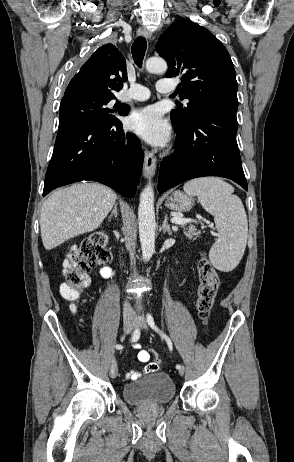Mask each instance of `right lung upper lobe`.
<instances>
[{
	"label": "right lung upper lobe",
	"instance_id": "obj_1",
	"mask_svg": "<svg viewBox=\"0 0 294 462\" xmlns=\"http://www.w3.org/2000/svg\"><path fill=\"white\" fill-rule=\"evenodd\" d=\"M126 80L125 58L114 45L106 44L98 48L72 78L64 97L73 94L115 96Z\"/></svg>",
	"mask_w": 294,
	"mask_h": 462
}]
</instances>
